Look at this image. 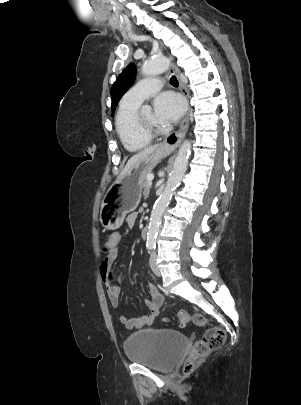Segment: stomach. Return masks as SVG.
Instances as JSON below:
<instances>
[{
    "label": "stomach",
    "mask_w": 301,
    "mask_h": 405,
    "mask_svg": "<svg viewBox=\"0 0 301 405\" xmlns=\"http://www.w3.org/2000/svg\"><path fill=\"white\" fill-rule=\"evenodd\" d=\"M171 152V149L160 146L110 186L101 204L100 221L105 228L120 227L126 214L137 208L146 174Z\"/></svg>",
    "instance_id": "obj_1"
}]
</instances>
